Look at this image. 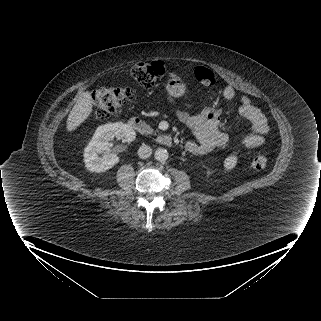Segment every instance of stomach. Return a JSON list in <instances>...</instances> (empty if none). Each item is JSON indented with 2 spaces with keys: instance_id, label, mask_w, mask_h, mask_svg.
<instances>
[{
  "instance_id": "obj_1",
  "label": "stomach",
  "mask_w": 321,
  "mask_h": 321,
  "mask_svg": "<svg viewBox=\"0 0 321 321\" xmlns=\"http://www.w3.org/2000/svg\"><path fill=\"white\" fill-rule=\"evenodd\" d=\"M165 89L167 93L174 98L182 97L186 93L184 81L176 75L170 76L165 84Z\"/></svg>"
}]
</instances>
